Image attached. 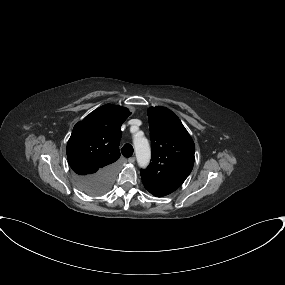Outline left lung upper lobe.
<instances>
[{
	"label": "left lung upper lobe",
	"mask_w": 285,
	"mask_h": 285,
	"mask_svg": "<svg viewBox=\"0 0 285 285\" xmlns=\"http://www.w3.org/2000/svg\"><path fill=\"white\" fill-rule=\"evenodd\" d=\"M151 163L141 170L148 192L163 197L178 189L194 164L195 145L180 119L168 108L148 109Z\"/></svg>",
	"instance_id": "left-lung-upper-lobe-1"
}]
</instances>
